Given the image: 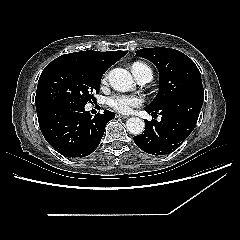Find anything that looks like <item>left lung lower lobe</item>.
I'll list each match as a JSON object with an SVG mask.
<instances>
[{"instance_id":"left-lung-lower-lobe-1","label":"left lung lower lobe","mask_w":240,"mask_h":240,"mask_svg":"<svg viewBox=\"0 0 240 240\" xmlns=\"http://www.w3.org/2000/svg\"><path fill=\"white\" fill-rule=\"evenodd\" d=\"M203 104V93L189 94L169 102L159 110L145 107L148 113L159 114L161 121L145 120V130L134 137L135 144L152 155H165L179 147L193 131Z\"/></svg>"}]
</instances>
